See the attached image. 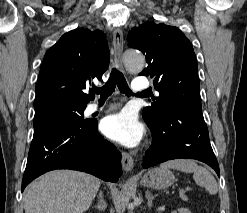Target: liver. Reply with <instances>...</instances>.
Returning a JSON list of instances; mask_svg holds the SVG:
<instances>
[{
    "label": "liver",
    "mask_w": 247,
    "mask_h": 213,
    "mask_svg": "<svg viewBox=\"0 0 247 213\" xmlns=\"http://www.w3.org/2000/svg\"><path fill=\"white\" fill-rule=\"evenodd\" d=\"M100 180L73 170H54L25 190V213H83L91 205Z\"/></svg>",
    "instance_id": "obj_1"
}]
</instances>
